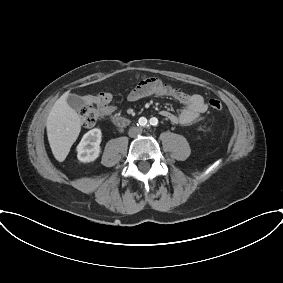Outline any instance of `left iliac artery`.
I'll list each match as a JSON object with an SVG mask.
<instances>
[{"label": "left iliac artery", "instance_id": "1", "mask_svg": "<svg viewBox=\"0 0 283 283\" xmlns=\"http://www.w3.org/2000/svg\"><path fill=\"white\" fill-rule=\"evenodd\" d=\"M150 124L153 125V126H157V124H158V119L155 118V117H154V118H151V119H150Z\"/></svg>", "mask_w": 283, "mask_h": 283}]
</instances>
